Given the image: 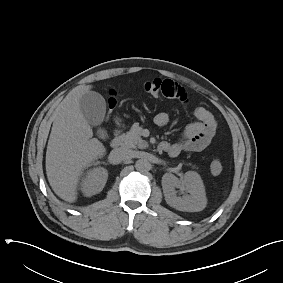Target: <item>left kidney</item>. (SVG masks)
I'll return each instance as SVG.
<instances>
[{
	"mask_svg": "<svg viewBox=\"0 0 283 283\" xmlns=\"http://www.w3.org/2000/svg\"><path fill=\"white\" fill-rule=\"evenodd\" d=\"M162 187L167 204L177 210L198 212L206 207L204 184L197 172L188 171L181 179L167 173L162 177ZM175 188H179L185 194L178 197Z\"/></svg>",
	"mask_w": 283,
	"mask_h": 283,
	"instance_id": "5707ae66",
	"label": "left kidney"
}]
</instances>
